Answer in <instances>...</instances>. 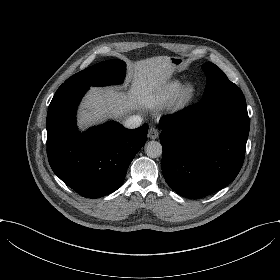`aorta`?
<instances>
[{
  "label": "aorta",
  "instance_id": "762f6f07",
  "mask_svg": "<svg viewBox=\"0 0 280 280\" xmlns=\"http://www.w3.org/2000/svg\"><path fill=\"white\" fill-rule=\"evenodd\" d=\"M145 153L150 158H157L162 155V145L158 141H149L145 146Z\"/></svg>",
  "mask_w": 280,
  "mask_h": 280
}]
</instances>
